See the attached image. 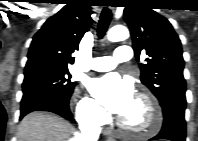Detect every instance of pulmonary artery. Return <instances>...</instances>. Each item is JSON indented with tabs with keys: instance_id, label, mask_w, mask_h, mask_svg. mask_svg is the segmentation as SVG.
Returning <instances> with one entry per match:
<instances>
[{
	"instance_id": "obj_1",
	"label": "pulmonary artery",
	"mask_w": 198,
	"mask_h": 141,
	"mask_svg": "<svg viewBox=\"0 0 198 141\" xmlns=\"http://www.w3.org/2000/svg\"><path fill=\"white\" fill-rule=\"evenodd\" d=\"M132 58V51L129 46H119L112 56L94 57L90 69L95 71H109L115 68L119 62H127Z\"/></svg>"
}]
</instances>
